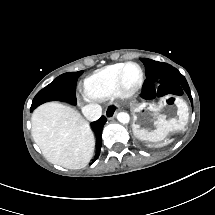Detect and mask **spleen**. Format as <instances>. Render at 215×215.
Here are the masks:
<instances>
[{"mask_svg": "<svg viewBox=\"0 0 215 215\" xmlns=\"http://www.w3.org/2000/svg\"><path fill=\"white\" fill-rule=\"evenodd\" d=\"M172 141H173V139H170V140H169V142H172ZM164 145H165V143H160V144H157L156 146H157V147H162V146H164ZM147 146H148V147H152L153 145H152V144H148Z\"/></svg>", "mask_w": 215, "mask_h": 215, "instance_id": "spleen-1", "label": "spleen"}]
</instances>
